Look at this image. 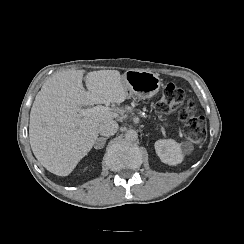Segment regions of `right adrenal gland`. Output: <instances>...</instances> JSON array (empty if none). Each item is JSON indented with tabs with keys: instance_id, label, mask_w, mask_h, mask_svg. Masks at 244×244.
<instances>
[{
	"instance_id": "2a0ac1e0",
	"label": "right adrenal gland",
	"mask_w": 244,
	"mask_h": 244,
	"mask_svg": "<svg viewBox=\"0 0 244 244\" xmlns=\"http://www.w3.org/2000/svg\"><path fill=\"white\" fill-rule=\"evenodd\" d=\"M100 139H103V141H104V143H105L106 140H107L108 138H104V137H102V138H97V139H96V142L99 141Z\"/></svg>"
}]
</instances>
